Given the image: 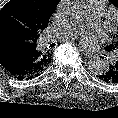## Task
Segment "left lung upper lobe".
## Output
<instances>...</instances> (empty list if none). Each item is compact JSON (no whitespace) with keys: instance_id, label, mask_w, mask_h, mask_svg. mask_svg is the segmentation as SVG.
Segmentation results:
<instances>
[{"instance_id":"1","label":"left lung upper lobe","mask_w":118,"mask_h":118,"mask_svg":"<svg viewBox=\"0 0 118 118\" xmlns=\"http://www.w3.org/2000/svg\"><path fill=\"white\" fill-rule=\"evenodd\" d=\"M112 4H114L118 8V0H109ZM105 50L108 52H113L114 54L118 55V42L117 44H110L105 47Z\"/></svg>"}]
</instances>
